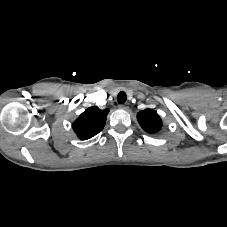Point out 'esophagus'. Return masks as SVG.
Returning a JSON list of instances; mask_svg holds the SVG:
<instances>
[{"mask_svg":"<svg viewBox=\"0 0 227 227\" xmlns=\"http://www.w3.org/2000/svg\"><path fill=\"white\" fill-rule=\"evenodd\" d=\"M119 108H120V109H128V106L125 105V104H121V105H119Z\"/></svg>","mask_w":227,"mask_h":227,"instance_id":"obj_1","label":"esophagus"}]
</instances>
